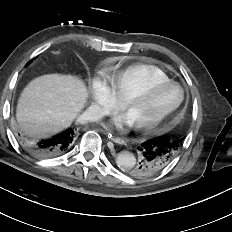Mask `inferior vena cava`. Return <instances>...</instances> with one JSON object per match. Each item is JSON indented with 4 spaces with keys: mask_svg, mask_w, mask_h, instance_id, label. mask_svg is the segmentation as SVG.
<instances>
[{
    "mask_svg": "<svg viewBox=\"0 0 232 232\" xmlns=\"http://www.w3.org/2000/svg\"><path fill=\"white\" fill-rule=\"evenodd\" d=\"M103 115H104V112L98 105L96 104L91 105L84 113L81 121L82 122L85 120L95 121V120L102 118Z\"/></svg>",
    "mask_w": 232,
    "mask_h": 232,
    "instance_id": "obj_1",
    "label": "inferior vena cava"
}]
</instances>
